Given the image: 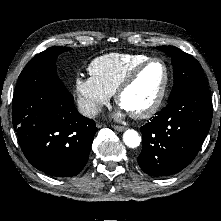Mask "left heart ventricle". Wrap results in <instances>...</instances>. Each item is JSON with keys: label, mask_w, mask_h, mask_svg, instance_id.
I'll list each match as a JSON object with an SVG mask.
<instances>
[{"label": "left heart ventricle", "mask_w": 221, "mask_h": 221, "mask_svg": "<svg viewBox=\"0 0 221 221\" xmlns=\"http://www.w3.org/2000/svg\"><path fill=\"white\" fill-rule=\"evenodd\" d=\"M164 68L160 63H151L123 94L121 106L128 112L144 110L155 100L164 80Z\"/></svg>", "instance_id": "b2bd125f"}]
</instances>
